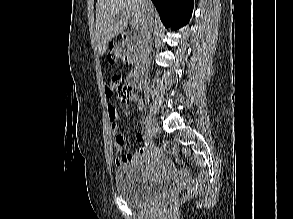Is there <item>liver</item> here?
Instances as JSON below:
<instances>
[{
    "mask_svg": "<svg viewBox=\"0 0 293 219\" xmlns=\"http://www.w3.org/2000/svg\"><path fill=\"white\" fill-rule=\"evenodd\" d=\"M147 9L142 0H97L96 3V46L97 52L103 56L112 38L125 32L128 19L125 14L132 16V25L142 32ZM149 12L155 14L150 2Z\"/></svg>",
    "mask_w": 293,
    "mask_h": 219,
    "instance_id": "6515ba94",
    "label": "liver"
}]
</instances>
